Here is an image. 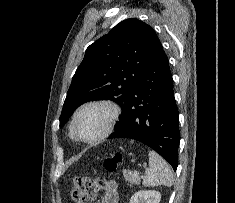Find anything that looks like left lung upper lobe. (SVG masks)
<instances>
[{
    "label": "left lung upper lobe",
    "instance_id": "1",
    "mask_svg": "<svg viewBox=\"0 0 235 203\" xmlns=\"http://www.w3.org/2000/svg\"><path fill=\"white\" fill-rule=\"evenodd\" d=\"M159 44L152 27L136 18L120 22L91 44L72 78L60 127L77 107L91 100H112L123 113Z\"/></svg>",
    "mask_w": 235,
    "mask_h": 203
}]
</instances>
